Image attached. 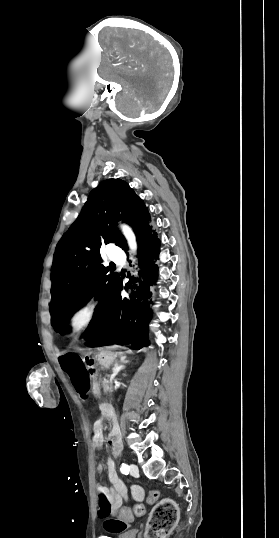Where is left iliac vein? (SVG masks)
Returning <instances> with one entry per match:
<instances>
[{
  "label": "left iliac vein",
  "mask_w": 279,
  "mask_h": 538,
  "mask_svg": "<svg viewBox=\"0 0 279 538\" xmlns=\"http://www.w3.org/2000/svg\"><path fill=\"white\" fill-rule=\"evenodd\" d=\"M138 472H139V470H138L137 465L130 464V474L133 475V476H136V475H138Z\"/></svg>",
  "instance_id": "4c4485c4"
}]
</instances>
